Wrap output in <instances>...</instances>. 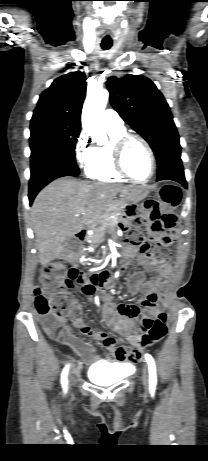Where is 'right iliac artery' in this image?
Segmentation results:
<instances>
[{
	"label": "right iliac artery",
	"mask_w": 208,
	"mask_h": 461,
	"mask_svg": "<svg viewBox=\"0 0 208 461\" xmlns=\"http://www.w3.org/2000/svg\"><path fill=\"white\" fill-rule=\"evenodd\" d=\"M67 375H68V365L63 369L62 374H61V384L65 390L67 388Z\"/></svg>",
	"instance_id": "obj_1"
}]
</instances>
